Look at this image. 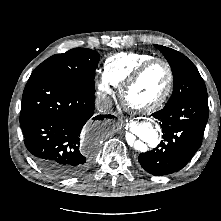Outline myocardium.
<instances>
[{
  "mask_svg": "<svg viewBox=\"0 0 221 221\" xmlns=\"http://www.w3.org/2000/svg\"><path fill=\"white\" fill-rule=\"evenodd\" d=\"M162 64L168 73V83L163 94L154 102L145 106H136L128 100L130 88L143 76L153 65ZM174 88V72L168 61L162 58H152L142 63L120 86V98L124 107L137 114H147L160 109L170 98Z\"/></svg>",
  "mask_w": 221,
  "mask_h": 221,
  "instance_id": "myocardium-1",
  "label": "myocardium"
}]
</instances>
